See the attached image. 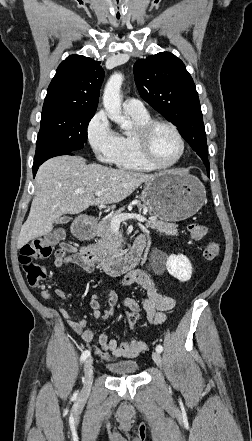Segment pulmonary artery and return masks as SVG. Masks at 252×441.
<instances>
[{
  "label": "pulmonary artery",
  "instance_id": "obj_1",
  "mask_svg": "<svg viewBox=\"0 0 252 441\" xmlns=\"http://www.w3.org/2000/svg\"><path fill=\"white\" fill-rule=\"evenodd\" d=\"M123 109L128 114L133 115H146L147 110L144 106V104L134 98H128L123 102Z\"/></svg>",
  "mask_w": 252,
  "mask_h": 441
}]
</instances>
